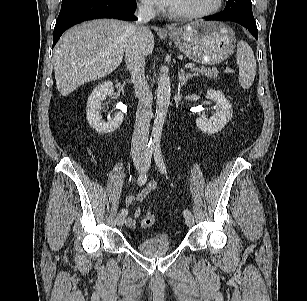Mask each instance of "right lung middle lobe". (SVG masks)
Here are the masks:
<instances>
[{"label": "right lung middle lobe", "instance_id": "1", "mask_svg": "<svg viewBox=\"0 0 307 301\" xmlns=\"http://www.w3.org/2000/svg\"><path fill=\"white\" fill-rule=\"evenodd\" d=\"M70 1H73V0H62V3H66V2H70Z\"/></svg>", "mask_w": 307, "mask_h": 301}]
</instances>
